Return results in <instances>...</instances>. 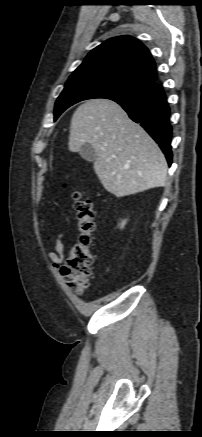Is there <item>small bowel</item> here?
Listing matches in <instances>:
<instances>
[{
  "label": "small bowel",
  "instance_id": "1",
  "mask_svg": "<svg viewBox=\"0 0 202 437\" xmlns=\"http://www.w3.org/2000/svg\"><path fill=\"white\" fill-rule=\"evenodd\" d=\"M66 235L65 231L60 232L55 240V246L53 251L48 252V257L52 263V267L56 270L60 268L64 259V243L63 238Z\"/></svg>",
  "mask_w": 202,
  "mask_h": 437
}]
</instances>
